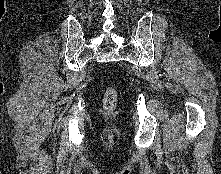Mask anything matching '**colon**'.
Returning <instances> with one entry per match:
<instances>
[{
    "label": "colon",
    "instance_id": "5ec220e1",
    "mask_svg": "<svg viewBox=\"0 0 221 174\" xmlns=\"http://www.w3.org/2000/svg\"><path fill=\"white\" fill-rule=\"evenodd\" d=\"M117 104V93L113 87H108L104 93L103 105L108 111H112Z\"/></svg>",
    "mask_w": 221,
    "mask_h": 174
}]
</instances>
